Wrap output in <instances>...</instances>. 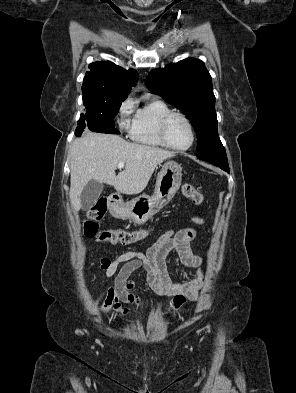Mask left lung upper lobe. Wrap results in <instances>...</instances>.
<instances>
[{"label":"left lung upper lobe","instance_id":"obj_1","mask_svg":"<svg viewBox=\"0 0 296 393\" xmlns=\"http://www.w3.org/2000/svg\"><path fill=\"white\" fill-rule=\"evenodd\" d=\"M145 83L190 119L197 134L199 159L227 161L218 136L212 78L203 61L188 58L153 70Z\"/></svg>","mask_w":296,"mask_h":393}]
</instances>
